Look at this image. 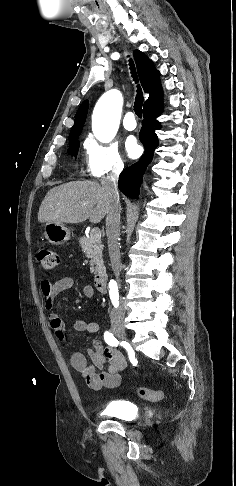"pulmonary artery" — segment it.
Masks as SVG:
<instances>
[{"label":"pulmonary artery","instance_id":"e3ab8cb5","mask_svg":"<svg viewBox=\"0 0 236 486\" xmlns=\"http://www.w3.org/2000/svg\"><path fill=\"white\" fill-rule=\"evenodd\" d=\"M123 126L126 130L132 131L136 128L137 123L133 112H127L123 118Z\"/></svg>","mask_w":236,"mask_h":486}]
</instances>
